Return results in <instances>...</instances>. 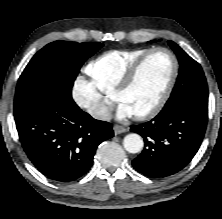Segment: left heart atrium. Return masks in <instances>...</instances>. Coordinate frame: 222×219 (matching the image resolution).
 Masks as SVG:
<instances>
[{"instance_id":"left-heart-atrium-1","label":"left heart atrium","mask_w":222,"mask_h":219,"mask_svg":"<svg viewBox=\"0 0 222 219\" xmlns=\"http://www.w3.org/2000/svg\"><path fill=\"white\" fill-rule=\"evenodd\" d=\"M134 116L133 111L124 103H120L117 109V118L119 120H125Z\"/></svg>"}]
</instances>
